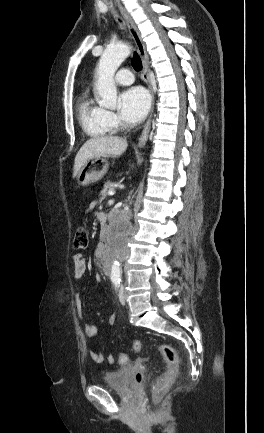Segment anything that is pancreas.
<instances>
[{
    "mask_svg": "<svg viewBox=\"0 0 264 433\" xmlns=\"http://www.w3.org/2000/svg\"><path fill=\"white\" fill-rule=\"evenodd\" d=\"M110 190H114V183L108 181L105 183L104 188L100 192V201H103L106 199Z\"/></svg>",
    "mask_w": 264,
    "mask_h": 433,
    "instance_id": "pancreas-1",
    "label": "pancreas"
}]
</instances>
